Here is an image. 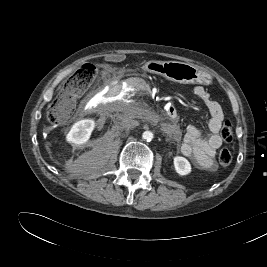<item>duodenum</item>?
Listing matches in <instances>:
<instances>
[{"instance_id":"1","label":"duodenum","mask_w":267,"mask_h":267,"mask_svg":"<svg viewBox=\"0 0 267 267\" xmlns=\"http://www.w3.org/2000/svg\"><path fill=\"white\" fill-rule=\"evenodd\" d=\"M109 92L113 96H118L122 92V87L118 83H113L109 87ZM165 113H166L167 117L170 118V119H172V120H175V118L177 117L176 110L172 106L167 107V109L165 110Z\"/></svg>"}]
</instances>
